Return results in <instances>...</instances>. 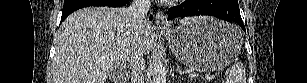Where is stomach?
<instances>
[{
    "instance_id": "stomach-1",
    "label": "stomach",
    "mask_w": 307,
    "mask_h": 83,
    "mask_svg": "<svg viewBox=\"0 0 307 83\" xmlns=\"http://www.w3.org/2000/svg\"><path fill=\"white\" fill-rule=\"evenodd\" d=\"M165 37L174 56L199 72L223 69L242 46V34L235 25L205 16L189 18Z\"/></svg>"
}]
</instances>
